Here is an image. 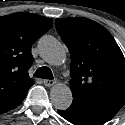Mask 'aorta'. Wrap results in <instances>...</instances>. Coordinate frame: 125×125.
<instances>
[{
  "label": "aorta",
  "mask_w": 125,
  "mask_h": 125,
  "mask_svg": "<svg viewBox=\"0 0 125 125\" xmlns=\"http://www.w3.org/2000/svg\"><path fill=\"white\" fill-rule=\"evenodd\" d=\"M39 53L45 62L54 66L62 64L66 59L65 47L57 39L50 36L40 39ZM50 99L56 109L65 110L70 107L73 97L68 86L56 84L51 88Z\"/></svg>",
  "instance_id": "762f6f07"
}]
</instances>
